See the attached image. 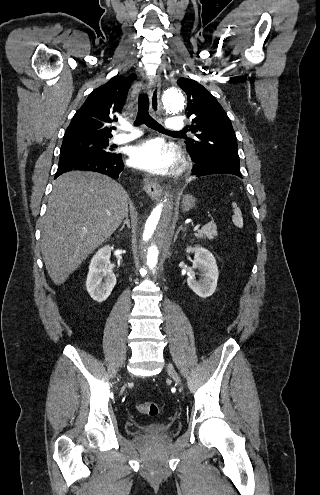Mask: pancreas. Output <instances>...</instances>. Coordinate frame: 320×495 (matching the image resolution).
Returning <instances> with one entry per match:
<instances>
[{
	"label": "pancreas",
	"mask_w": 320,
	"mask_h": 495,
	"mask_svg": "<svg viewBox=\"0 0 320 495\" xmlns=\"http://www.w3.org/2000/svg\"><path fill=\"white\" fill-rule=\"evenodd\" d=\"M216 235L217 226L213 221L204 225L202 229L198 230V232L195 234L197 238H205L209 240L214 239Z\"/></svg>",
	"instance_id": "obj_1"
}]
</instances>
